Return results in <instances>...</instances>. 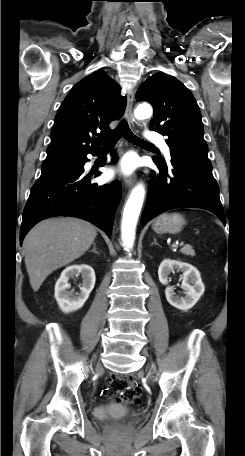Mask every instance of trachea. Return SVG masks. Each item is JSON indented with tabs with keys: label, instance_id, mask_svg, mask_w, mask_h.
I'll use <instances>...</instances> for the list:
<instances>
[{
	"label": "trachea",
	"instance_id": "1",
	"mask_svg": "<svg viewBox=\"0 0 245 456\" xmlns=\"http://www.w3.org/2000/svg\"><path fill=\"white\" fill-rule=\"evenodd\" d=\"M136 145H151L147 141L136 136L129 128L126 122H122L110 135L104 140V147L113 146V144L121 137Z\"/></svg>",
	"mask_w": 245,
	"mask_h": 456
}]
</instances>
